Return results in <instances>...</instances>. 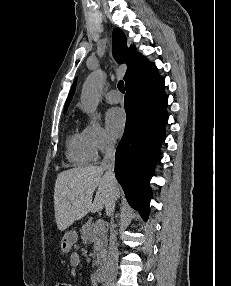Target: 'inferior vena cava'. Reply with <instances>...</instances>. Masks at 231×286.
Returning a JSON list of instances; mask_svg holds the SVG:
<instances>
[{
    "label": "inferior vena cava",
    "instance_id": "inferior-vena-cava-1",
    "mask_svg": "<svg viewBox=\"0 0 231 286\" xmlns=\"http://www.w3.org/2000/svg\"><path fill=\"white\" fill-rule=\"evenodd\" d=\"M115 164V143L111 140H107L105 144V155L101 163V168L105 171V177L107 181L113 185L116 182L114 173ZM114 206L107 205L106 213L108 216H113ZM114 223L111 221L110 239L108 247V256L105 267V284L104 286H115L117 268H118V248L116 242V233L114 229Z\"/></svg>",
    "mask_w": 231,
    "mask_h": 286
}]
</instances>
